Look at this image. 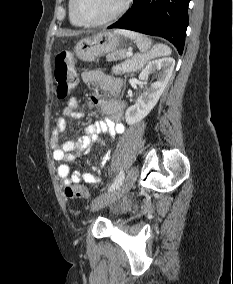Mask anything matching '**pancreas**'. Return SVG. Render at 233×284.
Segmentation results:
<instances>
[{"label": "pancreas", "mask_w": 233, "mask_h": 284, "mask_svg": "<svg viewBox=\"0 0 233 284\" xmlns=\"http://www.w3.org/2000/svg\"><path fill=\"white\" fill-rule=\"evenodd\" d=\"M107 61H117L121 59H127L124 65H128L126 71L132 72L140 69L145 63V59H143L140 55H135L131 59L127 56L126 50H117L107 54Z\"/></svg>", "instance_id": "pancreas-1"}]
</instances>
